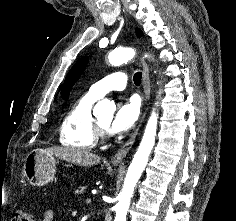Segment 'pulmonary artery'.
I'll return each mask as SVG.
<instances>
[{"instance_id": "1", "label": "pulmonary artery", "mask_w": 236, "mask_h": 221, "mask_svg": "<svg viewBox=\"0 0 236 221\" xmlns=\"http://www.w3.org/2000/svg\"><path fill=\"white\" fill-rule=\"evenodd\" d=\"M127 78L123 71L111 73L93 84L88 91V95L100 99L110 91H122L126 87Z\"/></svg>"}]
</instances>
